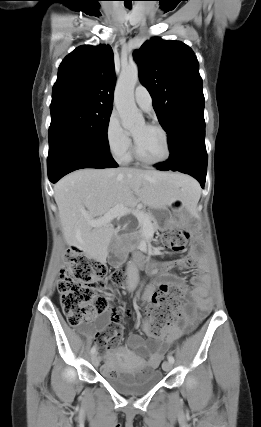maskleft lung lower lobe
Returning a JSON list of instances; mask_svg holds the SVG:
<instances>
[{
  "label": "left lung lower lobe",
  "mask_w": 261,
  "mask_h": 427,
  "mask_svg": "<svg viewBox=\"0 0 261 427\" xmlns=\"http://www.w3.org/2000/svg\"><path fill=\"white\" fill-rule=\"evenodd\" d=\"M168 136L170 157L156 164L158 170L187 173L204 187L207 173L204 117L183 119Z\"/></svg>",
  "instance_id": "1"
}]
</instances>
